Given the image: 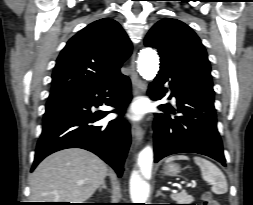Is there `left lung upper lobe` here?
<instances>
[{"mask_svg":"<svg viewBox=\"0 0 253 205\" xmlns=\"http://www.w3.org/2000/svg\"><path fill=\"white\" fill-rule=\"evenodd\" d=\"M145 45L158 49L161 62L172 65L214 94L206 50L188 25L177 19H162L148 32Z\"/></svg>","mask_w":253,"mask_h":205,"instance_id":"5c2ea615","label":"left lung upper lobe"}]
</instances>
